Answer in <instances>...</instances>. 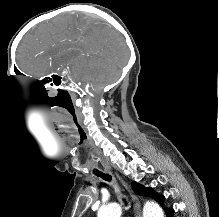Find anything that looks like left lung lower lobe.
<instances>
[{
    "mask_svg": "<svg viewBox=\"0 0 219 217\" xmlns=\"http://www.w3.org/2000/svg\"><path fill=\"white\" fill-rule=\"evenodd\" d=\"M164 210L167 217H174V209L165 207Z\"/></svg>",
    "mask_w": 219,
    "mask_h": 217,
    "instance_id": "left-lung-lower-lobe-1",
    "label": "left lung lower lobe"
}]
</instances>
